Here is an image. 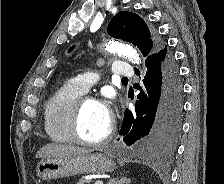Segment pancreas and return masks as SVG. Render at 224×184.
<instances>
[{
	"label": "pancreas",
	"mask_w": 224,
	"mask_h": 184,
	"mask_svg": "<svg viewBox=\"0 0 224 184\" xmlns=\"http://www.w3.org/2000/svg\"><path fill=\"white\" fill-rule=\"evenodd\" d=\"M76 184H90L89 180L79 179V181Z\"/></svg>",
	"instance_id": "cf45deb5"
}]
</instances>
